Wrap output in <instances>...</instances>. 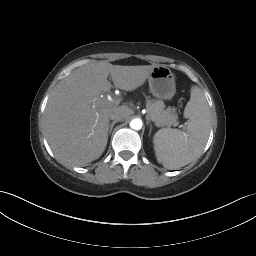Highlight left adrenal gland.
<instances>
[{"mask_svg": "<svg viewBox=\"0 0 256 256\" xmlns=\"http://www.w3.org/2000/svg\"><path fill=\"white\" fill-rule=\"evenodd\" d=\"M147 124H149V121H148V119H147V122H146ZM150 125V131H149V136H150V134H151V132H152V124H149Z\"/></svg>", "mask_w": 256, "mask_h": 256, "instance_id": "a2214340", "label": "left adrenal gland"}]
</instances>
